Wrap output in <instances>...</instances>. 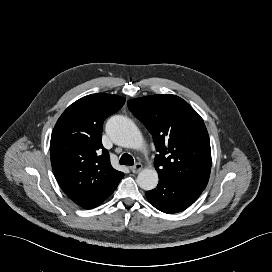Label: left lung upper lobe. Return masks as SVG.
<instances>
[{
    "mask_svg": "<svg viewBox=\"0 0 272 272\" xmlns=\"http://www.w3.org/2000/svg\"><path fill=\"white\" fill-rule=\"evenodd\" d=\"M130 111L152 134L160 178H172L205 189L211 170L207 129L200 115L182 98L151 95L127 102Z\"/></svg>",
    "mask_w": 272,
    "mask_h": 272,
    "instance_id": "left-lung-upper-lobe-1",
    "label": "left lung upper lobe"
}]
</instances>
